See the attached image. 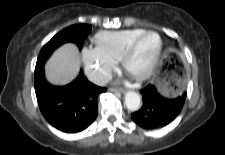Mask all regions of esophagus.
Returning a JSON list of instances; mask_svg holds the SVG:
<instances>
[{
	"instance_id": "esophagus-1",
	"label": "esophagus",
	"mask_w": 225,
	"mask_h": 155,
	"mask_svg": "<svg viewBox=\"0 0 225 155\" xmlns=\"http://www.w3.org/2000/svg\"><path fill=\"white\" fill-rule=\"evenodd\" d=\"M111 91L118 92V93H125L126 90L122 88H112Z\"/></svg>"
}]
</instances>
